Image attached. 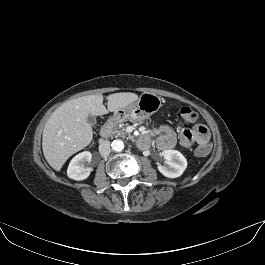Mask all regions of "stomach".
<instances>
[{"label":"stomach","instance_id":"1","mask_svg":"<svg viewBox=\"0 0 265 265\" xmlns=\"http://www.w3.org/2000/svg\"><path fill=\"white\" fill-rule=\"evenodd\" d=\"M161 107V98L156 94L143 93L137 101L128 104L114 112L118 121H141L147 119Z\"/></svg>","mask_w":265,"mask_h":265}]
</instances>
